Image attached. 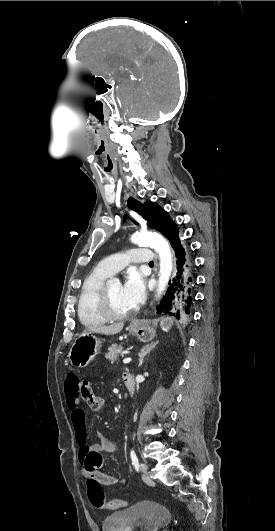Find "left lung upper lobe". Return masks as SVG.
<instances>
[{"mask_svg":"<svg viewBox=\"0 0 275 531\" xmlns=\"http://www.w3.org/2000/svg\"><path fill=\"white\" fill-rule=\"evenodd\" d=\"M128 207L138 213L148 224L149 227L161 232L166 236L168 229L175 223L171 220L169 214L156 203L140 201L130 198L128 200ZM127 216L124 217L126 219ZM137 224L136 222H134Z\"/></svg>","mask_w":275,"mask_h":531,"instance_id":"5c2ea615","label":"left lung upper lobe"}]
</instances>
